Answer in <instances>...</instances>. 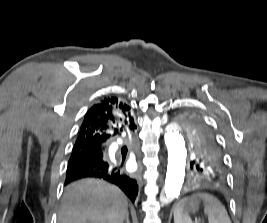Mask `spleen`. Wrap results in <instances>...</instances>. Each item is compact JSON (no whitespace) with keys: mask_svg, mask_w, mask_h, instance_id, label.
Masks as SVG:
<instances>
[{"mask_svg":"<svg viewBox=\"0 0 267 223\" xmlns=\"http://www.w3.org/2000/svg\"><path fill=\"white\" fill-rule=\"evenodd\" d=\"M196 197L204 201V212L208 215L209 223H231L225 207L217 198L209 194H198L192 198ZM187 201L188 199H183L174 207V223H192L191 218L184 214V206Z\"/></svg>","mask_w":267,"mask_h":223,"instance_id":"spleen-1","label":"spleen"}]
</instances>
